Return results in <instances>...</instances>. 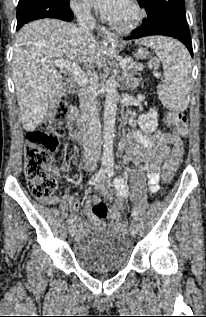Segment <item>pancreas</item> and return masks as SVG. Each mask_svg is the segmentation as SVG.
Returning <instances> with one entry per match:
<instances>
[{"label":"pancreas","instance_id":"1","mask_svg":"<svg viewBox=\"0 0 206 317\" xmlns=\"http://www.w3.org/2000/svg\"><path fill=\"white\" fill-rule=\"evenodd\" d=\"M124 68L131 71L133 75L143 70V66L139 61H131Z\"/></svg>","mask_w":206,"mask_h":317}]
</instances>
